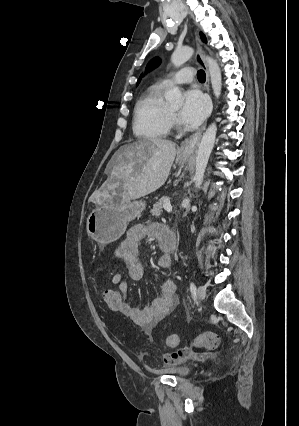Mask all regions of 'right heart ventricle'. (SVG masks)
<instances>
[{
	"instance_id": "right-heart-ventricle-1",
	"label": "right heart ventricle",
	"mask_w": 299,
	"mask_h": 426,
	"mask_svg": "<svg viewBox=\"0 0 299 426\" xmlns=\"http://www.w3.org/2000/svg\"><path fill=\"white\" fill-rule=\"evenodd\" d=\"M164 89V84H154L138 100L133 123V131L137 137L156 140L169 133L172 116L170 107L163 98Z\"/></svg>"
}]
</instances>
